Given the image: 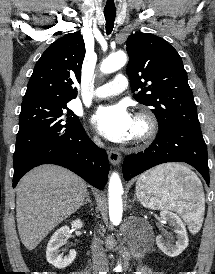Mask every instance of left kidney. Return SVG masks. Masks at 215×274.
I'll use <instances>...</instances> for the list:
<instances>
[{
  "label": "left kidney",
  "instance_id": "1",
  "mask_svg": "<svg viewBox=\"0 0 215 274\" xmlns=\"http://www.w3.org/2000/svg\"><path fill=\"white\" fill-rule=\"evenodd\" d=\"M161 218L172 225L175 230L176 241L173 244L170 236L166 235L165 238L162 235L156 237V244L159 249L165 253L167 256L175 257L183 252L188 246V236L184 223L179 218L178 215L171 211L163 210L160 213Z\"/></svg>",
  "mask_w": 215,
  "mask_h": 274
}]
</instances>
